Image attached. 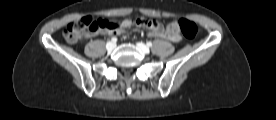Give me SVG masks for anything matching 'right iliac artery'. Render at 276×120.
Masks as SVG:
<instances>
[{"mask_svg":"<svg viewBox=\"0 0 276 120\" xmlns=\"http://www.w3.org/2000/svg\"><path fill=\"white\" fill-rule=\"evenodd\" d=\"M111 41L114 42V43H116L117 38H116V37H113V38L111 39Z\"/></svg>","mask_w":276,"mask_h":120,"instance_id":"1","label":"right iliac artery"}]
</instances>
